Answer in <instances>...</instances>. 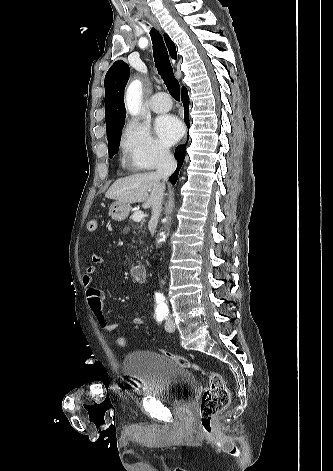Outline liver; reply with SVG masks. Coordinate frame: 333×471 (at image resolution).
Here are the masks:
<instances>
[{"mask_svg": "<svg viewBox=\"0 0 333 471\" xmlns=\"http://www.w3.org/2000/svg\"><path fill=\"white\" fill-rule=\"evenodd\" d=\"M163 191L156 173L145 172L117 179L107 190L105 197L127 204L143 202V208L147 209L153 206Z\"/></svg>", "mask_w": 333, "mask_h": 471, "instance_id": "6515ba94", "label": "liver"}]
</instances>
